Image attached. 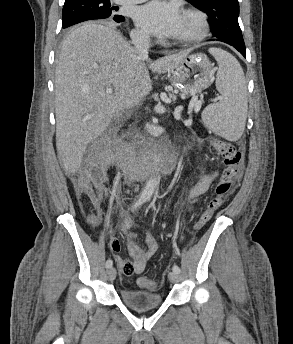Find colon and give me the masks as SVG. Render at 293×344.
Returning a JSON list of instances; mask_svg holds the SVG:
<instances>
[{"label":"colon","instance_id":"1","mask_svg":"<svg viewBox=\"0 0 293 344\" xmlns=\"http://www.w3.org/2000/svg\"><path fill=\"white\" fill-rule=\"evenodd\" d=\"M213 147L222 157L224 167L216 186V195L209 201L206 209L196 222V230H201L208 223L215 211L230 195L242 163V153L233 142L215 139L213 141ZM96 216L97 214L94 212L92 214L93 219H95ZM138 284L150 290H154L158 286L155 280L146 277L140 278Z\"/></svg>","mask_w":293,"mask_h":344}]
</instances>
